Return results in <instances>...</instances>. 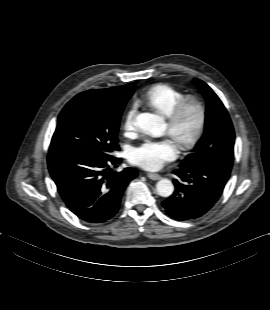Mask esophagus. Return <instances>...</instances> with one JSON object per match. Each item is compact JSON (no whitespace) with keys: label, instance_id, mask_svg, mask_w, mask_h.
<instances>
[{"label":"esophagus","instance_id":"obj_1","mask_svg":"<svg viewBox=\"0 0 270 310\" xmlns=\"http://www.w3.org/2000/svg\"><path fill=\"white\" fill-rule=\"evenodd\" d=\"M147 177L152 180H158L161 178V176L157 173H147Z\"/></svg>","mask_w":270,"mask_h":310}]
</instances>
